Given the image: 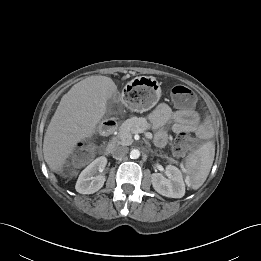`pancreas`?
Masks as SVG:
<instances>
[{
	"label": "pancreas",
	"instance_id": "cf45deb5",
	"mask_svg": "<svg viewBox=\"0 0 261 261\" xmlns=\"http://www.w3.org/2000/svg\"><path fill=\"white\" fill-rule=\"evenodd\" d=\"M151 125L144 117H131L125 120L119 127L118 134L114 138V142L121 145H131L133 142L132 134L137 133L139 129L149 130Z\"/></svg>",
	"mask_w": 261,
	"mask_h": 261
}]
</instances>
